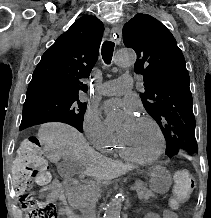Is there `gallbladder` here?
I'll return each mask as SVG.
<instances>
[{
  "label": "gallbladder",
  "mask_w": 211,
  "mask_h": 218,
  "mask_svg": "<svg viewBox=\"0 0 211 218\" xmlns=\"http://www.w3.org/2000/svg\"><path fill=\"white\" fill-rule=\"evenodd\" d=\"M57 170L61 178H72L75 175H82L84 166H77L76 160L72 158H63L62 162H58Z\"/></svg>",
  "instance_id": "obj_1"
}]
</instances>
